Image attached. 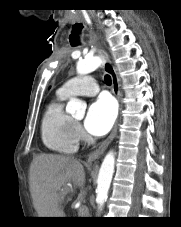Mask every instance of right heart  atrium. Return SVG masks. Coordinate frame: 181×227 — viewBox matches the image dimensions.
Masks as SVG:
<instances>
[{
    "label": "right heart atrium",
    "instance_id": "right-heart-atrium-1",
    "mask_svg": "<svg viewBox=\"0 0 181 227\" xmlns=\"http://www.w3.org/2000/svg\"><path fill=\"white\" fill-rule=\"evenodd\" d=\"M74 131H75L76 138L78 140H84L85 139V133H84L81 125L77 122L74 124Z\"/></svg>",
    "mask_w": 181,
    "mask_h": 227
}]
</instances>
